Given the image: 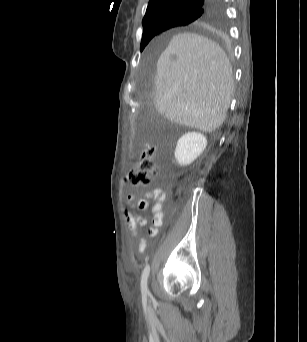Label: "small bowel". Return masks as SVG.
I'll use <instances>...</instances> for the list:
<instances>
[{
  "instance_id": "c3829d8e",
  "label": "small bowel",
  "mask_w": 307,
  "mask_h": 342,
  "mask_svg": "<svg viewBox=\"0 0 307 342\" xmlns=\"http://www.w3.org/2000/svg\"><path fill=\"white\" fill-rule=\"evenodd\" d=\"M154 201V205L152 207V213L154 217V221L152 226L148 229V234L150 236H156L159 231V227L161 225V220L163 217V205L165 201V195L163 191L159 188H154L145 193L143 198H137L135 195L131 194L128 196V202L130 205L141 211H145L149 208L150 202ZM126 221L128 225V229L132 235V237L136 238L138 236V227H142L146 225V219L140 216L137 213H126ZM147 246V241L142 238L138 244L137 250L142 253Z\"/></svg>"
}]
</instances>
